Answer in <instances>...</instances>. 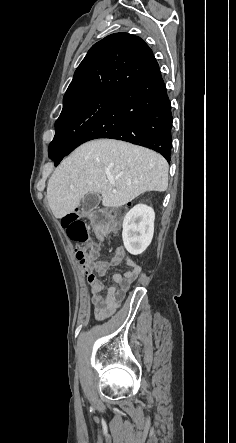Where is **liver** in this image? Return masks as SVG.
I'll return each mask as SVG.
<instances>
[{
    "label": "liver",
    "mask_w": 236,
    "mask_h": 443,
    "mask_svg": "<svg viewBox=\"0 0 236 443\" xmlns=\"http://www.w3.org/2000/svg\"><path fill=\"white\" fill-rule=\"evenodd\" d=\"M168 169L163 156L150 149L113 139L93 140L56 168L48 181V203L58 219L73 213L88 193L101 194L104 207L117 208L147 191H166Z\"/></svg>",
    "instance_id": "1"
}]
</instances>
